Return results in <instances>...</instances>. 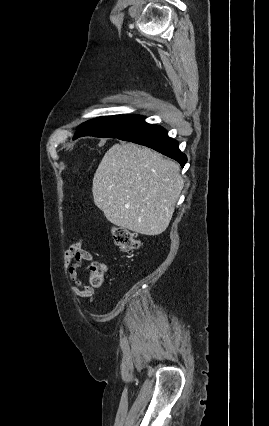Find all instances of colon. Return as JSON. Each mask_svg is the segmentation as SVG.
<instances>
[{
    "instance_id": "5ec220e1",
    "label": "colon",
    "mask_w": 269,
    "mask_h": 426,
    "mask_svg": "<svg viewBox=\"0 0 269 426\" xmlns=\"http://www.w3.org/2000/svg\"><path fill=\"white\" fill-rule=\"evenodd\" d=\"M112 238L115 245L124 252H131L140 246L137 235L120 226L112 229ZM106 266L99 262H93L89 268V280L92 286L100 287L104 281Z\"/></svg>"
}]
</instances>
